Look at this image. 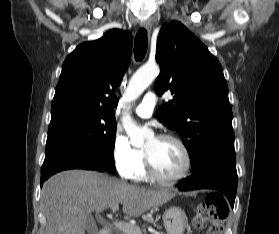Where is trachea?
Returning a JSON list of instances; mask_svg holds the SVG:
<instances>
[{
	"label": "trachea",
	"instance_id": "trachea-1",
	"mask_svg": "<svg viewBox=\"0 0 279 234\" xmlns=\"http://www.w3.org/2000/svg\"><path fill=\"white\" fill-rule=\"evenodd\" d=\"M148 46L147 31L141 28L135 37L134 54L137 61H141L146 54Z\"/></svg>",
	"mask_w": 279,
	"mask_h": 234
}]
</instances>
